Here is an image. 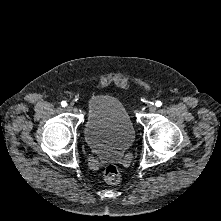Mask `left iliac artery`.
Wrapping results in <instances>:
<instances>
[{"label": "left iliac artery", "instance_id": "obj_1", "mask_svg": "<svg viewBox=\"0 0 221 221\" xmlns=\"http://www.w3.org/2000/svg\"><path fill=\"white\" fill-rule=\"evenodd\" d=\"M155 105H156L157 107H160V106L162 105V102H161V101H156Z\"/></svg>", "mask_w": 221, "mask_h": 221}]
</instances>
